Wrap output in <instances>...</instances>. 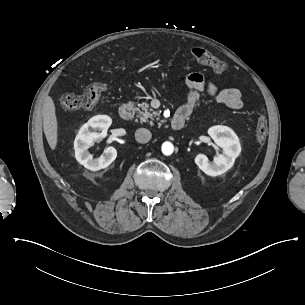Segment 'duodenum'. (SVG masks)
Wrapping results in <instances>:
<instances>
[{"label":"duodenum","mask_w":305,"mask_h":305,"mask_svg":"<svg viewBox=\"0 0 305 305\" xmlns=\"http://www.w3.org/2000/svg\"><path fill=\"white\" fill-rule=\"evenodd\" d=\"M120 117L124 120H130L133 118L135 114V106L131 103H125L123 104L119 109ZM186 121V114L184 113H176L171 118V125L175 129H180L184 126Z\"/></svg>","instance_id":"410a0bca"}]
</instances>
